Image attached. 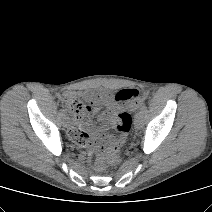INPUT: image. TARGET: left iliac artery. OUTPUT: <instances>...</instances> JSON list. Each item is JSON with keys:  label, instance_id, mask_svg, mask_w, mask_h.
<instances>
[{"label": "left iliac artery", "instance_id": "left-iliac-artery-1", "mask_svg": "<svg viewBox=\"0 0 212 212\" xmlns=\"http://www.w3.org/2000/svg\"><path fill=\"white\" fill-rule=\"evenodd\" d=\"M146 110H147L146 104H143V105L141 106V108H140V112H141L142 114H144V113L146 112Z\"/></svg>", "mask_w": 212, "mask_h": 212}]
</instances>
